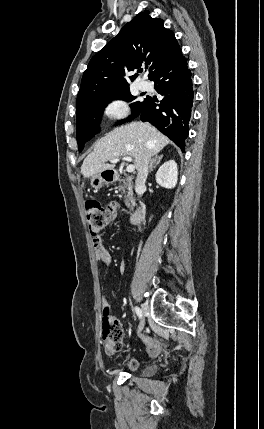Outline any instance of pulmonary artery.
I'll use <instances>...</instances> for the list:
<instances>
[{
	"label": "pulmonary artery",
	"instance_id": "e3ab8cb5",
	"mask_svg": "<svg viewBox=\"0 0 264 429\" xmlns=\"http://www.w3.org/2000/svg\"><path fill=\"white\" fill-rule=\"evenodd\" d=\"M138 87L140 90H147L149 88V83L145 80H142L138 83Z\"/></svg>",
	"mask_w": 264,
	"mask_h": 429
}]
</instances>
